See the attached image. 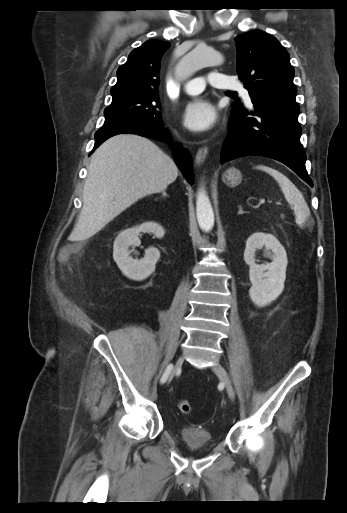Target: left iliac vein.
Wrapping results in <instances>:
<instances>
[{
  "instance_id": "obj_1",
  "label": "left iliac vein",
  "mask_w": 347,
  "mask_h": 513,
  "mask_svg": "<svg viewBox=\"0 0 347 513\" xmlns=\"http://www.w3.org/2000/svg\"><path fill=\"white\" fill-rule=\"evenodd\" d=\"M213 372L222 380L230 400L234 401L235 391L226 370L218 363L212 365Z\"/></svg>"
}]
</instances>
